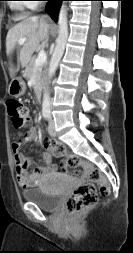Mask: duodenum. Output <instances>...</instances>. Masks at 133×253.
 Returning <instances> with one entry per match:
<instances>
[{"mask_svg":"<svg viewBox=\"0 0 133 253\" xmlns=\"http://www.w3.org/2000/svg\"><path fill=\"white\" fill-rule=\"evenodd\" d=\"M36 94L38 95L37 100L41 101L42 97H43V94H44L43 86L42 85L38 86V90L36 91Z\"/></svg>","mask_w":133,"mask_h":253,"instance_id":"1","label":"duodenum"}]
</instances>
